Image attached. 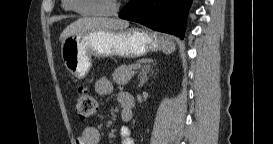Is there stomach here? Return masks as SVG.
<instances>
[{"label":"stomach","instance_id":"obj_1","mask_svg":"<svg viewBox=\"0 0 273 144\" xmlns=\"http://www.w3.org/2000/svg\"><path fill=\"white\" fill-rule=\"evenodd\" d=\"M162 48L161 38L141 29L92 30L67 37L61 45L66 69L78 79L84 78L91 66V57H141Z\"/></svg>","mask_w":273,"mask_h":144}]
</instances>
